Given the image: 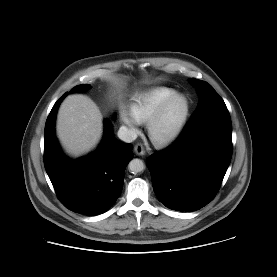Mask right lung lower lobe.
Returning <instances> with one entry per match:
<instances>
[{"label":"right lung lower lobe","mask_w":277,"mask_h":277,"mask_svg":"<svg viewBox=\"0 0 277 277\" xmlns=\"http://www.w3.org/2000/svg\"><path fill=\"white\" fill-rule=\"evenodd\" d=\"M62 96L53 106L45 125L44 165L62 204L73 212L94 216L106 212L122 192L125 168L133 159L132 145L113 137L105 123L98 149L86 157H66L55 137L54 125Z\"/></svg>","instance_id":"98d812e1"}]
</instances>
